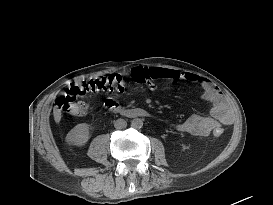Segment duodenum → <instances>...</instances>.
I'll return each instance as SVG.
<instances>
[{
    "mask_svg": "<svg viewBox=\"0 0 273 205\" xmlns=\"http://www.w3.org/2000/svg\"><path fill=\"white\" fill-rule=\"evenodd\" d=\"M106 106L108 107V109L120 112L121 114L126 115V116H143V115H145V113L140 110L129 109L127 107H124V106L116 103L114 100L106 101Z\"/></svg>",
    "mask_w": 273,
    "mask_h": 205,
    "instance_id": "410a0bca",
    "label": "duodenum"
}]
</instances>
